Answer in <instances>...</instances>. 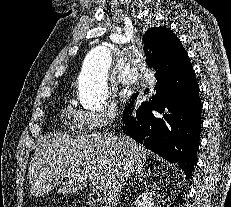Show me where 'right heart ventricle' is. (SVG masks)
<instances>
[{"mask_svg":"<svg viewBox=\"0 0 231 207\" xmlns=\"http://www.w3.org/2000/svg\"><path fill=\"white\" fill-rule=\"evenodd\" d=\"M62 117L67 130L80 132L84 128L81 124L80 112H78L73 105L68 104L64 107Z\"/></svg>","mask_w":231,"mask_h":207,"instance_id":"right-heart-ventricle-1","label":"right heart ventricle"}]
</instances>
